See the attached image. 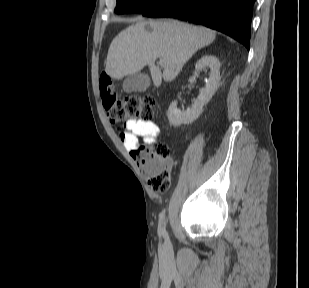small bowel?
Masks as SVG:
<instances>
[{"label": "small bowel", "mask_w": 309, "mask_h": 288, "mask_svg": "<svg viewBox=\"0 0 309 288\" xmlns=\"http://www.w3.org/2000/svg\"><path fill=\"white\" fill-rule=\"evenodd\" d=\"M160 135L158 125L147 120H128L125 123V130L120 137L124 147L133 154L139 145L140 139L145 144L155 143Z\"/></svg>", "instance_id": "1"}]
</instances>
